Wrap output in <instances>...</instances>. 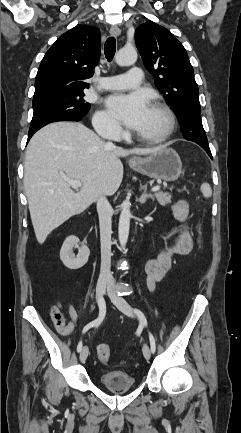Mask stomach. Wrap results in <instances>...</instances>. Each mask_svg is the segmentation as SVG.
Instances as JSON below:
<instances>
[{"label":"stomach","instance_id":"0dacf381","mask_svg":"<svg viewBox=\"0 0 241 433\" xmlns=\"http://www.w3.org/2000/svg\"><path fill=\"white\" fill-rule=\"evenodd\" d=\"M129 165L136 172L149 178L168 182L177 180L182 170V162L178 153L166 146L148 157H137L131 160Z\"/></svg>","mask_w":241,"mask_h":433}]
</instances>
